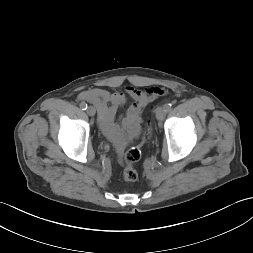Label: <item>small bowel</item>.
I'll use <instances>...</instances> for the list:
<instances>
[{
    "label": "small bowel",
    "instance_id": "c3829d8e",
    "mask_svg": "<svg viewBox=\"0 0 253 253\" xmlns=\"http://www.w3.org/2000/svg\"><path fill=\"white\" fill-rule=\"evenodd\" d=\"M163 94L159 88L140 90L135 87H127L126 94L122 92H110L102 88L84 90L79 94V99L93 104L98 112V122L103 133L114 143L118 152H122L126 147V136L133 137L138 132L141 122L142 110L147 104ZM127 97L132 102L129 105L121 125L116 122L118 109L123 106Z\"/></svg>",
    "mask_w": 253,
    "mask_h": 253
}]
</instances>
